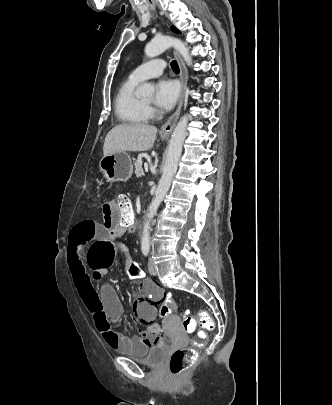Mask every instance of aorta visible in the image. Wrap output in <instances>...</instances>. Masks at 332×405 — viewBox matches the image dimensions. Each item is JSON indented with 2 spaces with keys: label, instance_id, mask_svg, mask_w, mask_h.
I'll use <instances>...</instances> for the list:
<instances>
[{
  "label": "aorta",
  "instance_id": "1",
  "mask_svg": "<svg viewBox=\"0 0 332 405\" xmlns=\"http://www.w3.org/2000/svg\"><path fill=\"white\" fill-rule=\"evenodd\" d=\"M169 47H174L184 58L188 65L192 64V58L189 54V49L182 41L169 36H155L145 47V54L149 58L156 57L163 53ZM142 93L147 94L153 90V87L149 83H144L141 87ZM188 117L184 115L180 118L178 124L174 128L171 140L169 143V149L165 165L163 168V174L159 180L155 196L148 208L147 218L143 226L141 245L150 244V230L151 221L157 210L166 196L174 175L178 169V163L181 157L183 143L187 135Z\"/></svg>",
  "mask_w": 332,
  "mask_h": 405
}]
</instances>
